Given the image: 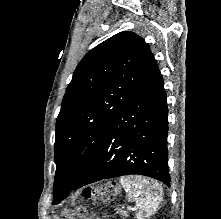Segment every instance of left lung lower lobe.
Returning a JSON list of instances; mask_svg holds the SVG:
<instances>
[{
    "instance_id": "1",
    "label": "left lung lower lobe",
    "mask_w": 221,
    "mask_h": 219,
    "mask_svg": "<svg viewBox=\"0 0 221 219\" xmlns=\"http://www.w3.org/2000/svg\"><path fill=\"white\" fill-rule=\"evenodd\" d=\"M163 85L155 63L142 87L114 119L100 149L73 189L130 174L149 176L169 186L168 110Z\"/></svg>"
}]
</instances>
